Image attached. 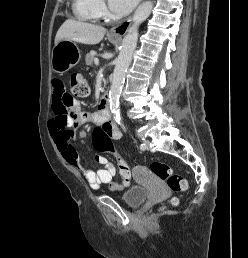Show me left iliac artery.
I'll return each instance as SVG.
<instances>
[{
  "mask_svg": "<svg viewBox=\"0 0 248 258\" xmlns=\"http://www.w3.org/2000/svg\"><path fill=\"white\" fill-rule=\"evenodd\" d=\"M144 148H145V144L143 143V144L140 145V149L144 150Z\"/></svg>",
  "mask_w": 248,
  "mask_h": 258,
  "instance_id": "1",
  "label": "left iliac artery"
}]
</instances>
